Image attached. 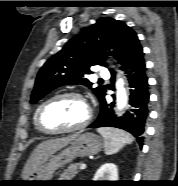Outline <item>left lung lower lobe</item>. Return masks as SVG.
Segmentation results:
<instances>
[{"instance_id":"1","label":"left lung lower lobe","mask_w":178,"mask_h":186,"mask_svg":"<svg viewBox=\"0 0 178 186\" xmlns=\"http://www.w3.org/2000/svg\"><path fill=\"white\" fill-rule=\"evenodd\" d=\"M128 78L130 87L129 108L122 117H116L114 114V104L108 103L103 98L100 101L101 111L95 122L89 128L116 127L130 132L136 137L140 146L143 145V134L145 131V122L148 117V78L146 76V65L144 53L133 60L123 69ZM115 74H112L114 81Z\"/></svg>"}]
</instances>
